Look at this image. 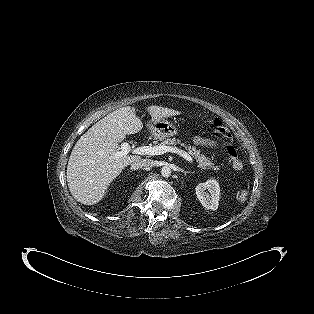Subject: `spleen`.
Segmentation results:
<instances>
[{
	"label": "spleen",
	"mask_w": 314,
	"mask_h": 314,
	"mask_svg": "<svg viewBox=\"0 0 314 314\" xmlns=\"http://www.w3.org/2000/svg\"><path fill=\"white\" fill-rule=\"evenodd\" d=\"M248 196V191L247 190H242L238 195H237V199L240 203H243Z\"/></svg>",
	"instance_id": "spleen-1"
}]
</instances>
